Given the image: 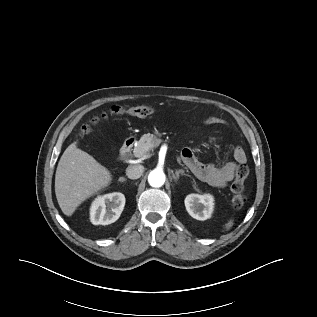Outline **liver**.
I'll use <instances>...</instances> for the list:
<instances>
[{"label":"liver","mask_w":317,"mask_h":317,"mask_svg":"<svg viewBox=\"0 0 317 317\" xmlns=\"http://www.w3.org/2000/svg\"><path fill=\"white\" fill-rule=\"evenodd\" d=\"M110 171L91 155L69 145L62 154L55 174V194L62 212L71 216L87 198L107 187Z\"/></svg>","instance_id":"1"}]
</instances>
